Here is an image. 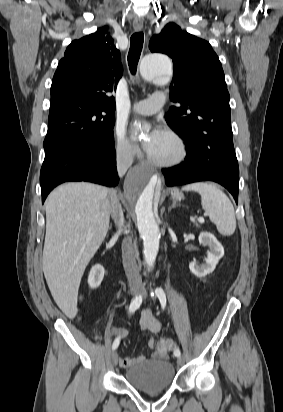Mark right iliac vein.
Returning a JSON list of instances; mask_svg holds the SVG:
<instances>
[{"label":"right iliac vein","mask_w":283,"mask_h":412,"mask_svg":"<svg viewBox=\"0 0 283 412\" xmlns=\"http://www.w3.org/2000/svg\"><path fill=\"white\" fill-rule=\"evenodd\" d=\"M130 292H131L132 295H137L139 293V290L138 289H131ZM111 362H112L113 366H116L117 363H118V354H117L116 351H113L111 353Z\"/></svg>","instance_id":"right-iliac-vein-1"}]
</instances>
